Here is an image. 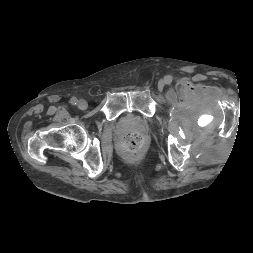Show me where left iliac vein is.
Masks as SVG:
<instances>
[{
    "mask_svg": "<svg viewBox=\"0 0 253 253\" xmlns=\"http://www.w3.org/2000/svg\"><path fill=\"white\" fill-rule=\"evenodd\" d=\"M164 85H165V83H164V81H159V83H158V88L160 89V90H162L163 88H164Z\"/></svg>",
    "mask_w": 253,
    "mask_h": 253,
    "instance_id": "1",
    "label": "left iliac vein"
}]
</instances>
